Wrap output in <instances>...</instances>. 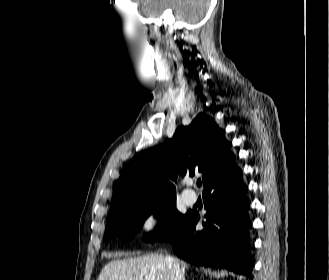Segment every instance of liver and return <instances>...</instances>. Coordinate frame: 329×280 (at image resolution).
Masks as SVG:
<instances>
[{
  "label": "liver",
  "instance_id": "6515ba94",
  "mask_svg": "<svg viewBox=\"0 0 329 280\" xmlns=\"http://www.w3.org/2000/svg\"><path fill=\"white\" fill-rule=\"evenodd\" d=\"M176 260L185 274L187 264ZM97 280H172V272L165 256L148 254L110 261Z\"/></svg>",
  "mask_w": 329,
  "mask_h": 280
}]
</instances>
